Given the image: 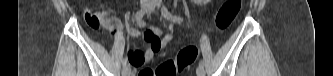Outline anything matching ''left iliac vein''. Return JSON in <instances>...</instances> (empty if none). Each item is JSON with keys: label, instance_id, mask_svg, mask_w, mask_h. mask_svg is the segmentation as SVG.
Masks as SVG:
<instances>
[{"label": "left iliac vein", "instance_id": "obj_1", "mask_svg": "<svg viewBox=\"0 0 333 76\" xmlns=\"http://www.w3.org/2000/svg\"><path fill=\"white\" fill-rule=\"evenodd\" d=\"M196 74L197 76H205V70L202 66H199L197 69H196Z\"/></svg>", "mask_w": 333, "mask_h": 76}]
</instances>
